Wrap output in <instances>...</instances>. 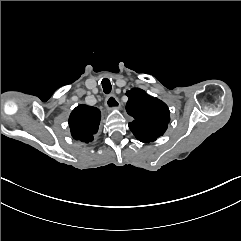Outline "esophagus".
Here are the masks:
<instances>
[{"label": "esophagus", "instance_id": "34e87169", "mask_svg": "<svg viewBox=\"0 0 241 241\" xmlns=\"http://www.w3.org/2000/svg\"><path fill=\"white\" fill-rule=\"evenodd\" d=\"M105 106L107 110L121 109V105L115 95H109L106 97Z\"/></svg>", "mask_w": 241, "mask_h": 241}]
</instances>
